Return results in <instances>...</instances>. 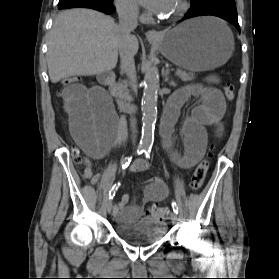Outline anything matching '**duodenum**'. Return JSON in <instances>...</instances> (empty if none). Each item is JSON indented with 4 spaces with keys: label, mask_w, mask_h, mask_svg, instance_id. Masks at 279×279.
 <instances>
[{
    "label": "duodenum",
    "mask_w": 279,
    "mask_h": 279,
    "mask_svg": "<svg viewBox=\"0 0 279 279\" xmlns=\"http://www.w3.org/2000/svg\"><path fill=\"white\" fill-rule=\"evenodd\" d=\"M100 80L107 83L110 87L111 94L116 98V103L119 109H121L124 112L128 113H136L137 112V106L135 103L130 102L126 99L120 98L117 96V90L115 87V80L112 74L110 73H102L100 75Z\"/></svg>",
    "instance_id": "duodenum-1"
}]
</instances>
